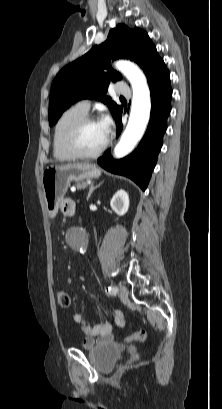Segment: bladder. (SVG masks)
<instances>
[{"label": "bladder", "mask_w": 222, "mask_h": 409, "mask_svg": "<svg viewBox=\"0 0 222 409\" xmlns=\"http://www.w3.org/2000/svg\"><path fill=\"white\" fill-rule=\"evenodd\" d=\"M124 349L114 342L98 344L89 349L88 355L93 366L101 372H109Z\"/></svg>", "instance_id": "31cf9c89"}]
</instances>
